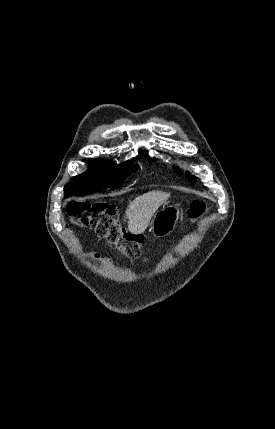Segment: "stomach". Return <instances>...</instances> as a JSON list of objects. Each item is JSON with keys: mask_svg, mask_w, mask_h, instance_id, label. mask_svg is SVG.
<instances>
[{"mask_svg": "<svg viewBox=\"0 0 275 429\" xmlns=\"http://www.w3.org/2000/svg\"><path fill=\"white\" fill-rule=\"evenodd\" d=\"M180 210L178 206L170 205L158 211L151 222L150 229L155 237H163L170 234L176 227Z\"/></svg>", "mask_w": 275, "mask_h": 429, "instance_id": "obj_1", "label": "stomach"}]
</instances>
